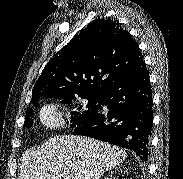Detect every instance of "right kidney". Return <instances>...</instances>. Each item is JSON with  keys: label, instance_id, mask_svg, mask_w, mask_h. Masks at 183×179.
I'll return each mask as SVG.
<instances>
[{"label": "right kidney", "instance_id": "obj_1", "mask_svg": "<svg viewBox=\"0 0 183 179\" xmlns=\"http://www.w3.org/2000/svg\"><path fill=\"white\" fill-rule=\"evenodd\" d=\"M104 179H115V178H112V177H111V178H109V177H105Z\"/></svg>", "mask_w": 183, "mask_h": 179}]
</instances>
